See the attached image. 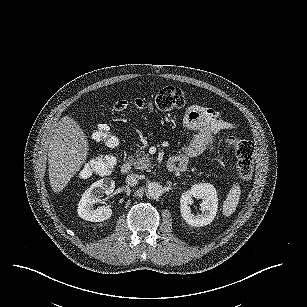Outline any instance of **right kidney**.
I'll return each instance as SVG.
<instances>
[{
  "mask_svg": "<svg viewBox=\"0 0 307 307\" xmlns=\"http://www.w3.org/2000/svg\"><path fill=\"white\" fill-rule=\"evenodd\" d=\"M115 189V181L111 178H103L92 183L83 193L77 207L78 215L90 222H102L112 215L109 206L93 209L94 203L99 201L103 193L111 194Z\"/></svg>",
  "mask_w": 307,
  "mask_h": 307,
  "instance_id": "obj_1",
  "label": "right kidney"
}]
</instances>
